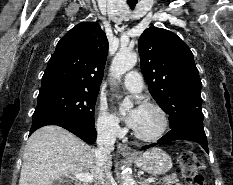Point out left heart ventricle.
Returning <instances> with one entry per match:
<instances>
[{
    "label": "left heart ventricle",
    "instance_id": "1",
    "mask_svg": "<svg viewBox=\"0 0 233 185\" xmlns=\"http://www.w3.org/2000/svg\"><path fill=\"white\" fill-rule=\"evenodd\" d=\"M160 114L150 108H140L137 125L134 130L140 135L150 136L155 134L161 127Z\"/></svg>",
    "mask_w": 233,
    "mask_h": 185
}]
</instances>
